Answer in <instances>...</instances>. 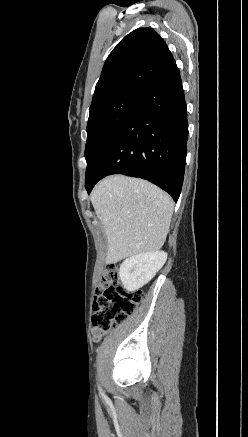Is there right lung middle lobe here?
Instances as JSON below:
<instances>
[{
    "instance_id": "1",
    "label": "right lung middle lobe",
    "mask_w": 248,
    "mask_h": 437,
    "mask_svg": "<svg viewBox=\"0 0 248 437\" xmlns=\"http://www.w3.org/2000/svg\"><path fill=\"white\" fill-rule=\"evenodd\" d=\"M138 94L123 93L90 111L85 147L86 175L101 149L128 115Z\"/></svg>"
}]
</instances>
